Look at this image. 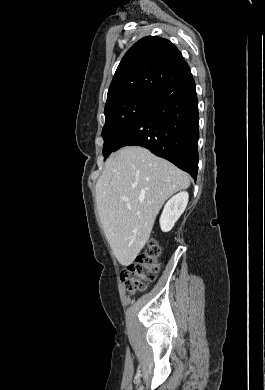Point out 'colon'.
<instances>
[{"instance_id":"colon-1","label":"colon","mask_w":265,"mask_h":390,"mask_svg":"<svg viewBox=\"0 0 265 390\" xmlns=\"http://www.w3.org/2000/svg\"><path fill=\"white\" fill-rule=\"evenodd\" d=\"M160 255V246L150 241L136 260L122 272L121 280L129 293L143 291L155 280Z\"/></svg>"}]
</instances>
